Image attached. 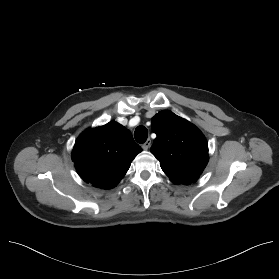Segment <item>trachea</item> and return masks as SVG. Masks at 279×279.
Instances as JSON below:
<instances>
[{
    "instance_id": "3493384b",
    "label": "trachea",
    "mask_w": 279,
    "mask_h": 279,
    "mask_svg": "<svg viewBox=\"0 0 279 279\" xmlns=\"http://www.w3.org/2000/svg\"><path fill=\"white\" fill-rule=\"evenodd\" d=\"M148 131L144 126H138L134 132V137L136 141L140 144L144 143L147 140Z\"/></svg>"
}]
</instances>
